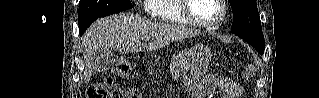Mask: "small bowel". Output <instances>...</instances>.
<instances>
[{"mask_svg": "<svg viewBox=\"0 0 319 98\" xmlns=\"http://www.w3.org/2000/svg\"><path fill=\"white\" fill-rule=\"evenodd\" d=\"M173 75L174 78H178L177 68H173ZM208 86L211 92L216 89L224 90L226 92V98H239L243 91L242 86L238 82L215 75L208 77Z\"/></svg>", "mask_w": 319, "mask_h": 98, "instance_id": "obj_1", "label": "small bowel"}]
</instances>
